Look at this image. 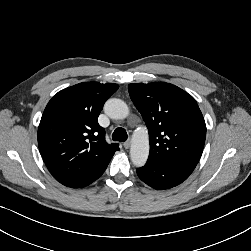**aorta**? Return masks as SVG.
Returning a JSON list of instances; mask_svg holds the SVG:
<instances>
[{
    "label": "aorta",
    "instance_id": "762f6f07",
    "mask_svg": "<svg viewBox=\"0 0 251 251\" xmlns=\"http://www.w3.org/2000/svg\"><path fill=\"white\" fill-rule=\"evenodd\" d=\"M105 113L112 119H124L129 115L127 104L117 98L109 99L104 105ZM149 155V136L146 128L135 131L132 137L130 157L133 164L142 167Z\"/></svg>",
    "mask_w": 251,
    "mask_h": 251
}]
</instances>
